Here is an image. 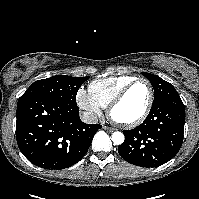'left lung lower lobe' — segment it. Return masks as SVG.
Masks as SVG:
<instances>
[{"label": "left lung lower lobe", "mask_w": 199, "mask_h": 199, "mask_svg": "<svg viewBox=\"0 0 199 199\" xmlns=\"http://www.w3.org/2000/svg\"><path fill=\"white\" fill-rule=\"evenodd\" d=\"M185 109L180 97L164 100L152 108L138 127L124 130L125 141L118 147L127 162L158 167L171 160L183 142Z\"/></svg>", "instance_id": "obj_1"}]
</instances>
